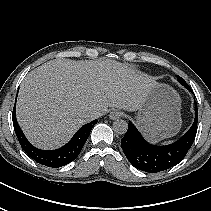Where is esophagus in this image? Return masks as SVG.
<instances>
[{"instance_id": "34e87169", "label": "esophagus", "mask_w": 211, "mask_h": 211, "mask_svg": "<svg viewBox=\"0 0 211 211\" xmlns=\"http://www.w3.org/2000/svg\"><path fill=\"white\" fill-rule=\"evenodd\" d=\"M123 116V113L119 110H113L109 113V118L111 120H117Z\"/></svg>"}]
</instances>
